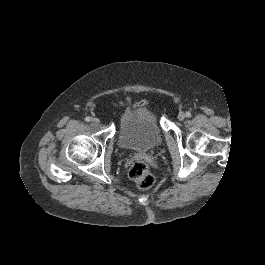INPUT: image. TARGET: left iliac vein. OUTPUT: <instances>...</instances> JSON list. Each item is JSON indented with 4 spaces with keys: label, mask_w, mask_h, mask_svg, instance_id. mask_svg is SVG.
I'll return each instance as SVG.
<instances>
[{
    "label": "left iliac vein",
    "mask_w": 265,
    "mask_h": 265,
    "mask_svg": "<svg viewBox=\"0 0 265 265\" xmlns=\"http://www.w3.org/2000/svg\"><path fill=\"white\" fill-rule=\"evenodd\" d=\"M178 119L181 120V121L184 120L185 119V114L184 113H179Z\"/></svg>",
    "instance_id": "4c4485c4"
}]
</instances>
